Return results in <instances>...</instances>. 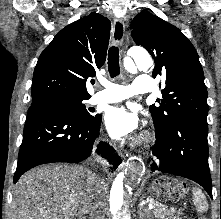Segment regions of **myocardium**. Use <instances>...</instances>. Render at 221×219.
<instances>
[{
    "mask_svg": "<svg viewBox=\"0 0 221 219\" xmlns=\"http://www.w3.org/2000/svg\"><path fill=\"white\" fill-rule=\"evenodd\" d=\"M145 142H147L146 139H143V140L140 141V143H145Z\"/></svg>",
    "mask_w": 221,
    "mask_h": 219,
    "instance_id": "1",
    "label": "myocardium"
}]
</instances>
